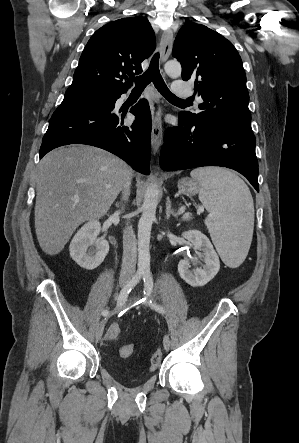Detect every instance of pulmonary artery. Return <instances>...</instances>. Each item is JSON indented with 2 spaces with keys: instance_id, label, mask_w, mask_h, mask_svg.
<instances>
[{
  "instance_id": "e3ab8cb5",
  "label": "pulmonary artery",
  "mask_w": 299,
  "mask_h": 443,
  "mask_svg": "<svg viewBox=\"0 0 299 443\" xmlns=\"http://www.w3.org/2000/svg\"><path fill=\"white\" fill-rule=\"evenodd\" d=\"M173 93L179 97H189L193 95V90L182 81H175L173 83Z\"/></svg>"
}]
</instances>
